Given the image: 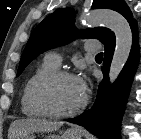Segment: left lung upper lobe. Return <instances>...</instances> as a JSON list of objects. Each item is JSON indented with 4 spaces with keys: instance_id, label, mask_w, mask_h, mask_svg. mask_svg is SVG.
I'll use <instances>...</instances> for the list:
<instances>
[{
    "instance_id": "left-lung-upper-lobe-1",
    "label": "left lung upper lobe",
    "mask_w": 141,
    "mask_h": 139,
    "mask_svg": "<svg viewBox=\"0 0 141 139\" xmlns=\"http://www.w3.org/2000/svg\"><path fill=\"white\" fill-rule=\"evenodd\" d=\"M92 8H109L122 14L131 25L135 20L124 0H94ZM98 39L105 44L114 33L104 27L77 31L74 26V10L60 8L47 16L33 31L23 51L17 76L44 51L69 43L75 37Z\"/></svg>"
}]
</instances>
